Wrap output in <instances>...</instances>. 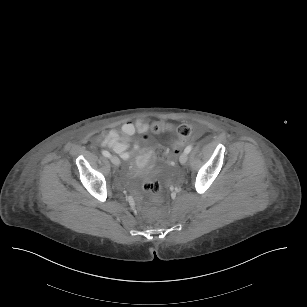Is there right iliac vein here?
<instances>
[{"label":"right iliac vein","mask_w":307,"mask_h":307,"mask_svg":"<svg viewBox=\"0 0 307 307\" xmlns=\"http://www.w3.org/2000/svg\"><path fill=\"white\" fill-rule=\"evenodd\" d=\"M110 161L115 166H119L120 164V160L115 155L110 156Z\"/></svg>","instance_id":"1"}]
</instances>
